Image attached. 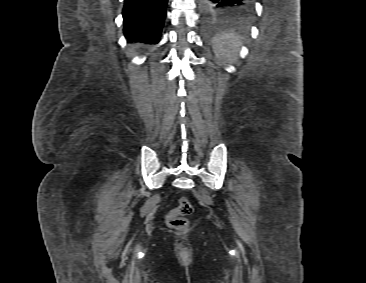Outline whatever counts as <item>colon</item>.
Listing matches in <instances>:
<instances>
[{"instance_id": "colon-1", "label": "colon", "mask_w": 366, "mask_h": 283, "mask_svg": "<svg viewBox=\"0 0 366 283\" xmlns=\"http://www.w3.org/2000/svg\"><path fill=\"white\" fill-rule=\"evenodd\" d=\"M193 212V206L189 199L182 196L178 200L177 206L172 209L167 216V223L170 227L177 230H186L189 226L187 216Z\"/></svg>"}]
</instances>
